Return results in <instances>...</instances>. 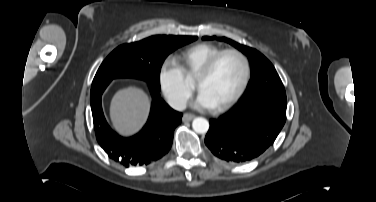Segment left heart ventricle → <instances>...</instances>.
Masks as SVG:
<instances>
[{"label":"left heart ventricle","mask_w":376,"mask_h":202,"mask_svg":"<svg viewBox=\"0 0 376 202\" xmlns=\"http://www.w3.org/2000/svg\"><path fill=\"white\" fill-rule=\"evenodd\" d=\"M243 77V65L234 55H225L215 65L211 74L197 83L212 101L214 107L226 102L239 88Z\"/></svg>","instance_id":"1"}]
</instances>
